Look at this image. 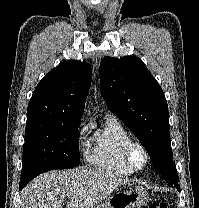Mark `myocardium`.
I'll use <instances>...</instances> for the list:
<instances>
[{
    "label": "myocardium",
    "instance_id": "1",
    "mask_svg": "<svg viewBox=\"0 0 199 208\" xmlns=\"http://www.w3.org/2000/svg\"><path fill=\"white\" fill-rule=\"evenodd\" d=\"M135 145L139 146L144 153L145 161L142 166L135 165L131 159L130 151H131V148ZM121 157H122V160L125 163V165L129 169H131L133 172L141 171V170L145 169L150 162V153H149L146 145L141 140L135 139V138H129L123 144L122 149H121Z\"/></svg>",
    "mask_w": 199,
    "mask_h": 208
}]
</instances>
